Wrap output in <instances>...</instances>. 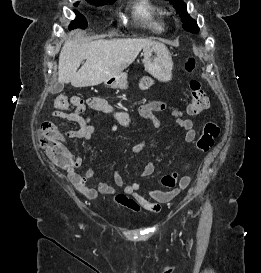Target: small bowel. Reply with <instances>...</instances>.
Listing matches in <instances>:
<instances>
[{"instance_id": "1", "label": "small bowel", "mask_w": 261, "mask_h": 273, "mask_svg": "<svg viewBox=\"0 0 261 273\" xmlns=\"http://www.w3.org/2000/svg\"><path fill=\"white\" fill-rule=\"evenodd\" d=\"M153 84L154 80L150 76H145L141 81V87L143 89H147ZM88 105L93 109L111 114L116 119L118 124L124 127H130L132 124V118L127 112L102 99L91 98L88 100ZM167 109L171 111L175 118L176 124L185 130V141L188 143L193 142L196 138L193 122L190 119L183 118L181 116V111L178 108H170L165 103L156 101L143 105L140 108V114L144 118L150 119L155 128H159L160 123L153 113ZM64 110L65 109L58 108L57 110L53 111L51 115L55 118L67 119L76 122L79 124L80 128L77 130H63L61 133L70 139L82 141L90 140L95 133L96 127L94 125L87 124L86 120L82 116L77 117L72 115L70 112H65ZM43 126L51 131H60L58 127L51 122H47ZM144 147V142L138 143L132 147L131 152L138 153L142 151ZM82 165L83 158L81 156H75L73 157V164L67 167L68 178L78 193L91 200L96 199L99 193L110 196L116 204L124 206L133 212H138L141 209H144L153 213H158L161 209V203L170 201L179 191L164 192L161 190H147L137 182L125 180L119 171L114 172V181L118 186L123 188V193H117L113 186L101 181L97 182L96 188H92L87 184V180L94 178V171L92 168H88L84 175H81L76 171V169L80 168ZM154 169L155 167L153 162H146L143 167L141 177H149L153 174ZM181 182H186L188 185L190 182V177L183 176Z\"/></svg>"}]
</instances>
